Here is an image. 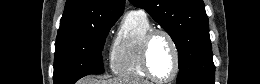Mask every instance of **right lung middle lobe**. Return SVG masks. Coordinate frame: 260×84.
Segmentation results:
<instances>
[{
  "label": "right lung middle lobe",
  "instance_id": "dd1d6c3e",
  "mask_svg": "<svg viewBox=\"0 0 260 84\" xmlns=\"http://www.w3.org/2000/svg\"><path fill=\"white\" fill-rule=\"evenodd\" d=\"M115 22L99 21L83 34L56 39L54 84H73L85 75L104 72L101 52Z\"/></svg>",
  "mask_w": 260,
  "mask_h": 84
}]
</instances>
